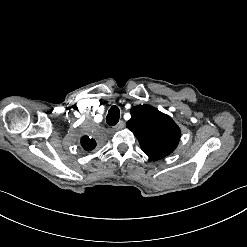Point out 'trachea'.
Returning <instances> with one entry per match:
<instances>
[{
    "label": "trachea",
    "instance_id": "obj_1",
    "mask_svg": "<svg viewBox=\"0 0 247 247\" xmlns=\"http://www.w3.org/2000/svg\"><path fill=\"white\" fill-rule=\"evenodd\" d=\"M120 113L119 108L117 106H112L108 112V115L106 117V122L110 125H116L119 121Z\"/></svg>",
    "mask_w": 247,
    "mask_h": 247
}]
</instances>
